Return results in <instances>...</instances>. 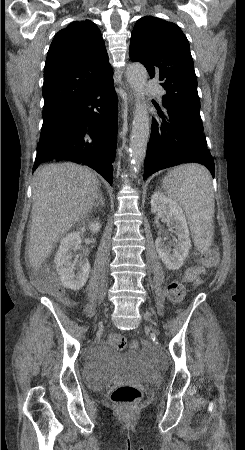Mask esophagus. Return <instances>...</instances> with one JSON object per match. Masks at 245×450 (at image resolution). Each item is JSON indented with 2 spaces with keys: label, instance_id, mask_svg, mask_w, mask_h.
Segmentation results:
<instances>
[{
  "label": "esophagus",
  "instance_id": "34e87169",
  "mask_svg": "<svg viewBox=\"0 0 245 450\" xmlns=\"http://www.w3.org/2000/svg\"><path fill=\"white\" fill-rule=\"evenodd\" d=\"M129 100H132V95H129Z\"/></svg>",
  "mask_w": 245,
  "mask_h": 450
}]
</instances>
